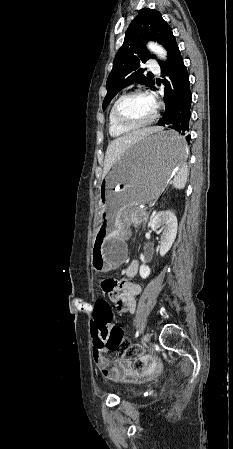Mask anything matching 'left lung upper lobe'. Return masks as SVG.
I'll return each mask as SVG.
<instances>
[{
  "instance_id": "5c2ea615",
  "label": "left lung upper lobe",
  "mask_w": 233,
  "mask_h": 449,
  "mask_svg": "<svg viewBox=\"0 0 233 449\" xmlns=\"http://www.w3.org/2000/svg\"><path fill=\"white\" fill-rule=\"evenodd\" d=\"M149 40L163 45L169 58L178 48L172 29L162 18L161 13L144 8L130 23L124 43L114 59L113 69L106 83L107 94L103 101V110L121 89L134 82L154 87V82L150 81L140 68L141 63H145L149 58H155L145 46ZM163 64L164 62L159 61L160 66Z\"/></svg>"
}]
</instances>
